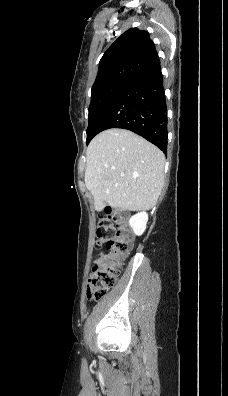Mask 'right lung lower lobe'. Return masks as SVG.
I'll return each mask as SVG.
<instances>
[{
  "label": "right lung lower lobe",
  "mask_w": 228,
  "mask_h": 396,
  "mask_svg": "<svg viewBox=\"0 0 228 396\" xmlns=\"http://www.w3.org/2000/svg\"><path fill=\"white\" fill-rule=\"evenodd\" d=\"M96 134L131 130L166 153L167 114L159 58L117 96L98 120Z\"/></svg>",
  "instance_id": "right-lung-lower-lobe-1"
}]
</instances>
